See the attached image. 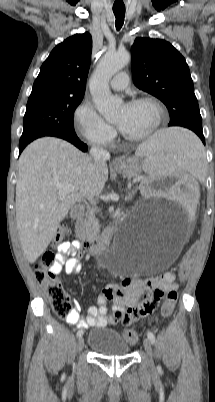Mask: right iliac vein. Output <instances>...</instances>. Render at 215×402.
Returning <instances> with one entry per match:
<instances>
[{
	"instance_id": "1",
	"label": "right iliac vein",
	"mask_w": 215,
	"mask_h": 402,
	"mask_svg": "<svg viewBox=\"0 0 215 402\" xmlns=\"http://www.w3.org/2000/svg\"><path fill=\"white\" fill-rule=\"evenodd\" d=\"M77 351H81L84 347V339L82 337H79L78 341H77Z\"/></svg>"
}]
</instances>
